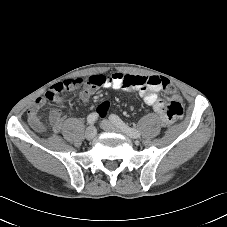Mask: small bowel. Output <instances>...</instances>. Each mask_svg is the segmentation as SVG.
<instances>
[{
    "label": "small bowel",
    "mask_w": 227,
    "mask_h": 227,
    "mask_svg": "<svg viewBox=\"0 0 227 227\" xmlns=\"http://www.w3.org/2000/svg\"><path fill=\"white\" fill-rule=\"evenodd\" d=\"M153 77L158 76L123 75L121 73L107 75L105 72H100L97 75L89 74L86 77L68 78L59 81L53 84L44 95L36 99L28 110V122L35 130L43 132L45 125L40 118L39 111L48 101H55L59 106H62L63 99L59 96L68 93L70 90L84 88L80 93V99L83 103H88L94 90L99 87L137 91L145 104L152 107L160 115L163 122L168 123L181 119L183 116L182 98L172 93L167 101L162 100L158 96L161 86L148 83L149 79ZM50 122L55 131L61 129L63 116L59 109L51 112Z\"/></svg>",
    "instance_id": "1"
}]
</instances>
